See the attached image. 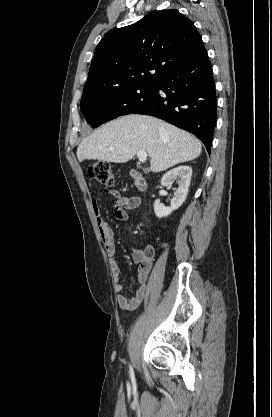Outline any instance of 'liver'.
Wrapping results in <instances>:
<instances>
[{"mask_svg":"<svg viewBox=\"0 0 272 417\" xmlns=\"http://www.w3.org/2000/svg\"><path fill=\"white\" fill-rule=\"evenodd\" d=\"M144 150L150 170L161 172L199 157L201 142L188 132L146 115H127L110 121L85 138L77 148L79 162L125 163Z\"/></svg>","mask_w":272,"mask_h":417,"instance_id":"liver-1","label":"liver"}]
</instances>
